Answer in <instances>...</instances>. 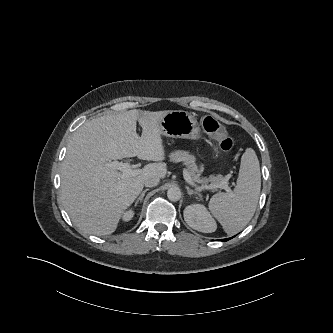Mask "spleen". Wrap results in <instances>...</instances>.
Here are the masks:
<instances>
[{
	"label": "spleen",
	"mask_w": 333,
	"mask_h": 333,
	"mask_svg": "<svg viewBox=\"0 0 333 333\" xmlns=\"http://www.w3.org/2000/svg\"><path fill=\"white\" fill-rule=\"evenodd\" d=\"M261 189L260 164L254 150L246 149L241 157L237 184L231 192L212 196L208 207L227 234L241 231L252 219Z\"/></svg>",
	"instance_id": "spleen-1"
}]
</instances>
